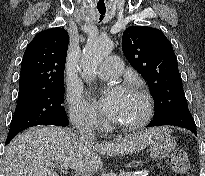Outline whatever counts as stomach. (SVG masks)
<instances>
[{
  "mask_svg": "<svg viewBox=\"0 0 205 176\" xmlns=\"http://www.w3.org/2000/svg\"><path fill=\"white\" fill-rule=\"evenodd\" d=\"M176 141L168 131L159 134L150 144V156L153 159H163L175 148Z\"/></svg>",
  "mask_w": 205,
  "mask_h": 176,
  "instance_id": "obj_1",
  "label": "stomach"
}]
</instances>
